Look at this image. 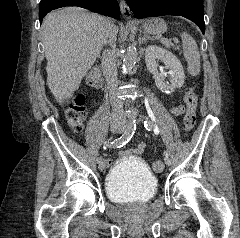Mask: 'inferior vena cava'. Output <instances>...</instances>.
Listing matches in <instances>:
<instances>
[{"instance_id":"inferior-vena-cava-1","label":"inferior vena cava","mask_w":240,"mask_h":238,"mask_svg":"<svg viewBox=\"0 0 240 238\" xmlns=\"http://www.w3.org/2000/svg\"><path fill=\"white\" fill-rule=\"evenodd\" d=\"M97 23L104 31H107L108 27L111 25V21L103 17H98ZM102 39L104 42H106L105 32L103 33ZM101 65L103 69V75L105 76L107 81L110 100L112 104L113 117L116 119L125 121L123 102L120 99H118L116 96V90L118 86V77H117L116 56L113 50L105 49L103 51Z\"/></svg>"}]
</instances>
